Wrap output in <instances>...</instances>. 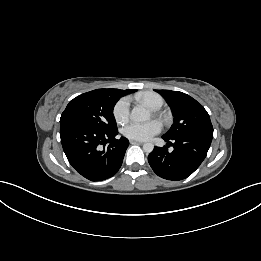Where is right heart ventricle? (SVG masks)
<instances>
[{
  "label": "right heart ventricle",
  "instance_id": "e07e8e85",
  "mask_svg": "<svg viewBox=\"0 0 261 261\" xmlns=\"http://www.w3.org/2000/svg\"><path fill=\"white\" fill-rule=\"evenodd\" d=\"M139 100L152 109H158L163 104L162 98L153 92H145L141 94Z\"/></svg>",
  "mask_w": 261,
  "mask_h": 261
}]
</instances>
